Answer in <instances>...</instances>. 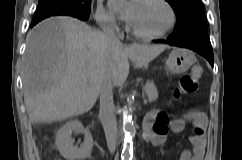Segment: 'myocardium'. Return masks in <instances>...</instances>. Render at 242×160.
<instances>
[{"mask_svg": "<svg viewBox=\"0 0 242 160\" xmlns=\"http://www.w3.org/2000/svg\"><path fill=\"white\" fill-rule=\"evenodd\" d=\"M157 2L163 4L169 11L170 14V19L168 25L160 32L154 33V34H145L137 31L134 29L131 24H128V29L129 31L137 38L142 39V40H156L159 38H162L166 34H168L176 25L177 22V14L176 10L173 7V5L170 3L169 0H156Z\"/></svg>", "mask_w": 242, "mask_h": 160, "instance_id": "f54148a6", "label": "myocardium"}]
</instances>
